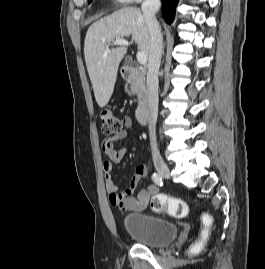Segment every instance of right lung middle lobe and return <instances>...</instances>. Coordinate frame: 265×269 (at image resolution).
Segmentation results:
<instances>
[{
    "instance_id": "right-lung-middle-lobe-1",
    "label": "right lung middle lobe",
    "mask_w": 265,
    "mask_h": 269,
    "mask_svg": "<svg viewBox=\"0 0 265 269\" xmlns=\"http://www.w3.org/2000/svg\"><path fill=\"white\" fill-rule=\"evenodd\" d=\"M92 0H88V2L90 3Z\"/></svg>"
}]
</instances>
